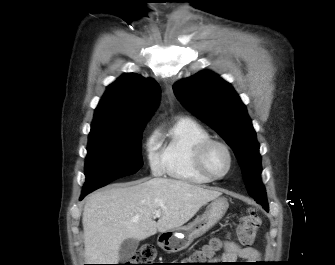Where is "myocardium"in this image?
<instances>
[{
    "label": "myocardium",
    "mask_w": 335,
    "mask_h": 265,
    "mask_svg": "<svg viewBox=\"0 0 335 265\" xmlns=\"http://www.w3.org/2000/svg\"><path fill=\"white\" fill-rule=\"evenodd\" d=\"M213 146L222 147L225 150L227 157H228L227 170L221 175L213 174L206 165V155L209 149ZM195 163H196L198 170L208 179L221 180L225 178L231 172L233 165H234V156H233V152L230 146L227 143L221 140L210 138V139L205 140L199 145L196 151V154H195Z\"/></svg>",
    "instance_id": "1"
}]
</instances>
